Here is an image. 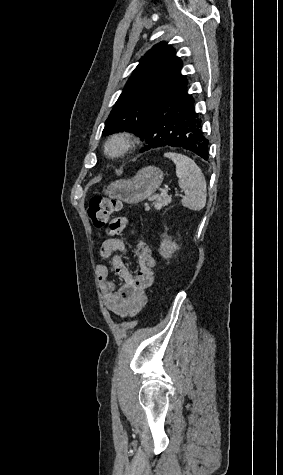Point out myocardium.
I'll return each instance as SVG.
<instances>
[{
  "label": "myocardium",
  "mask_w": 283,
  "mask_h": 475,
  "mask_svg": "<svg viewBox=\"0 0 283 475\" xmlns=\"http://www.w3.org/2000/svg\"><path fill=\"white\" fill-rule=\"evenodd\" d=\"M139 137L128 130H120L110 134L104 141L103 152L111 159L122 158L137 147Z\"/></svg>",
  "instance_id": "1"
}]
</instances>
